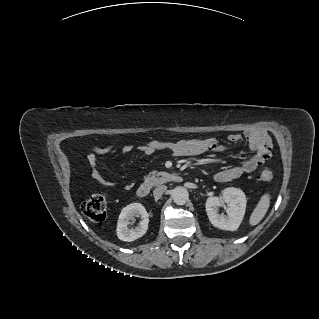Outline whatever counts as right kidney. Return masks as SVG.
I'll return each instance as SVG.
<instances>
[{
    "label": "right kidney",
    "instance_id": "1",
    "mask_svg": "<svg viewBox=\"0 0 319 319\" xmlns=\"http://www.w3.org/2000/svg\"><path fill=\"white\" fill-rule=\"evenodd\" d=\"M134 216H141L139 226L130 228L128 225ZM148 213L141 203H131L124 207L117 222V237L126 242L134 241L142 237L148 229Z\"/></svg>",
    "mask_w": 319,
    "mask_h": 319
}]
</instances>
